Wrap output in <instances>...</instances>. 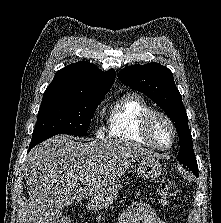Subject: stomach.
<instances>
[{
    "mask_svg": "<svg viewBox=\"0 0 221 223\" xmlns=\"http://www.w3.org/2000/svg\"><path fill=\"white\" fill-rule=\"evenodd\" d=\"M161 173L162 166L155 158H144L138 163L137 176L139 178L152 181L156 180ZM121 187L120 184H115L101 194L91 197L87 208L91 211H96L112 205L113 202L116 201Z\"/></svg>",
    "mask_w": 221,
    "mask_h": 223,
    "instance_id": "1",
    "label": "stomach"
}]
</instances>
